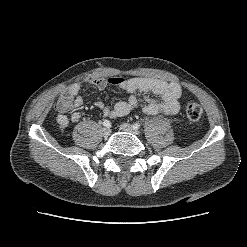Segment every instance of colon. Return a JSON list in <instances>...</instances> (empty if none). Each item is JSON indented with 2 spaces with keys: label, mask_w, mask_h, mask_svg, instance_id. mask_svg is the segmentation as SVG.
Returning a JSON list of instances; mask_svg holds the SVG:
<instances>
[{
  "label": "colon",
  "mask_w": 247,
  "mask_h": 247,
  "mask_svg": "<svg viewBox=\"0 0 247 247\" xmlns=\"http://www.w3.org/2000/svg\"><path fill=\"white\" fill-rule=\"evenodd\" d=\"M185 113L188 119L197 121L201 118L203 110L202 107L194 102L187 103L185 106Z\"/></svg>",
  "instance_id": "colon-1"
}]
</instances>
